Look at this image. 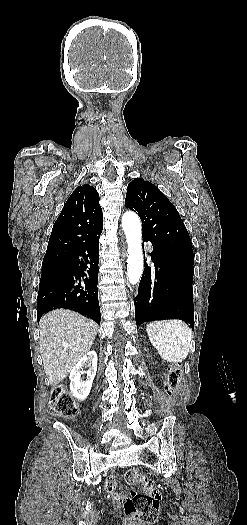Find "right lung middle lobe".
Listing matches in <instances>:
<instances>
[{
  "mask_svg": "<svg viewBox=\"0 0 247 525\" xmlns=\"http://www.w3.org/2000/svg\"><path fill=\"white\" fill-rule=\"evenodd\" d=\"M63 259V256H52L46 260L43 261V264L50 265L54 263H58Z\"/></svg>",
  "mask_w": 247,
  "mask_h": 525,
  "instance_id": "1",
  "label": "right lung middle lobe"
}]
</instances>
